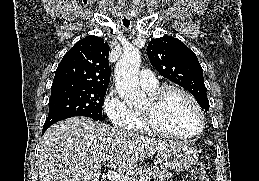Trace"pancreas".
I'll list each match as a JSON object with an SVG mask.
<instances>
[{
    "label": "pancreas",
    "mask_w": 259,
    "mask_h": 181,
    "mask_svg": "<svg viewBox=\"0 0 259 181\" xmlns=\"http://www.w3.org/2000/svg\"><path fill=\"white\" fill-rule=\"evenodd\" d=\"M133 177H148L150 179L153 178L159 181H166L170 180L173 177V174L171 172H168L167 170H159L155 167L142 166L141 168H138L133 172Z\"/></svg>",
    "instance_id": "1"
}]
</instances>
